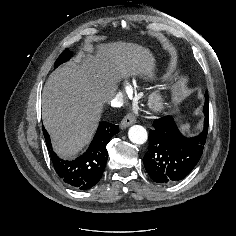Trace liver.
Instances as JSON below:
<instances>
[{
	"instance_id": "obj_1",
	"label": "liver",
	"mask_w": 236,
	"mask_h": 236,
	"mask_svg": "<svg viewBox=\"0 0 236 236\" xmlns=\"http://www.w3.org/2000/svg\"><path fill=\"white\" fill-rule=\"evenodd\" d=\"M152 53L137 44H99L96 53L80 54L57 68L42 93L43 124L56 153L77 155L92 139L103 104L114 96L118 81L128 75L152 78Z\"/></svg>"
}]
</instances>
